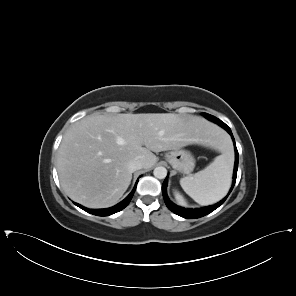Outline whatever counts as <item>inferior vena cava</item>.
<instances>
[{"mask_svg":"<svg viewBox=\"0 0 296 296\" xmlns=\"http://www.w3.org/2000/svg\"><path fill=\"white\" fill-rule=\"evenodd\" d=\"M143 168V164L140 160L134 159L128 163V169L130 172H135L136 170H140Z\"/></svg>","mask_w":296,"mask_h":296,"instance_id":"1","label":"inferior vena cava"}]
</instances>
